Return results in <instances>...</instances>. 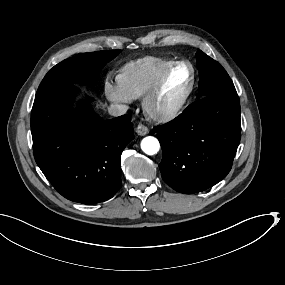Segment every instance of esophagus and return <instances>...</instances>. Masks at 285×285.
Returning <instances> with one entry per match:
<instances>
[{"label": "esophagus", "mask_w": 285, "mask_h": 285, "mask_svg": "<svg viewBox=\"0 0 285 285\" xmlns=\"http://www.w3.org/2000/svg\"><path fill=\"white\" fill-rule=\"evenodd\" d=\"M136 133L140 136H144L149 133V129L145 125L139 124L136 128Z\"/></svg>", "instance_id": "1"}]
</instances>
